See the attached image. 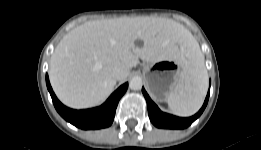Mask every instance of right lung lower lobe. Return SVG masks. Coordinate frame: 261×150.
<instances>
[{
  "instance_id": "98d812e1",
  "label": "right lung lower lobe",
  "mask_w": 261,
  "mask_h": 150,
  "mask_svg": "<svg viewBox=\"0 0 261 150\" xmlns=\"http://www.w3.org/2000/svg\"><path fill=\"white\" fill-rule=\"evenodd\" d=\"M46 84L48 91L51 95L53 104L58 113L66 121L84 130L100 129L110 126L114 120L117 104L128 88V83H125L122 86H120L100 107L87 110H73L64 106L57 99L51 88L47 74Z\"/></svg>"
}]
</instances>
